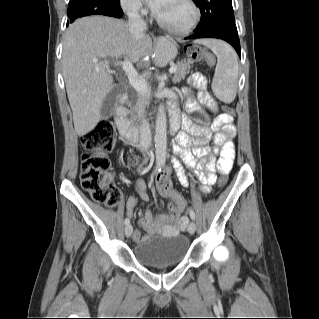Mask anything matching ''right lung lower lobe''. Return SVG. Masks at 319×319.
<instances>
[{
  "mask_svg": "<svg viewBox=\"0 0 319 319\" xmlns=\"http://www.w3.org/2000/svg\"><path fill=\"white\" fill-rule=\"evenodd\" d=\"M103 15L120 18L123 15V12H122V9L120 8L119 10H116L115 12L107 13V14H103Z\"/></svg>",
  "mask_w": 319,
  "mask_h": 319,
  "instance_id": "obj_1",
  "label": "right lung lower lobe"
}]
</instances>
